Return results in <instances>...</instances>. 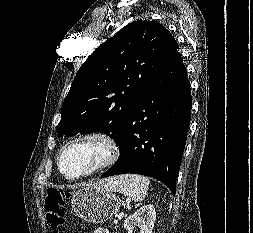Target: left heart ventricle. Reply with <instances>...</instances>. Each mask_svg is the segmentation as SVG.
<instances>
[{"label":"left heart ventricle","instance_id":"b2bd125f","mask_svg":"<svg viewBox=\"0 0 253 233\" xmlns=\"http://www.w3.org/2000/svg\"><path fill=\"white\" fill-rule=\"evenodd\" d=\"M105 149L96 143H81L69 148L63 156L66 174L75 176L94 167L104 156Z\"/></svg>","mask_w":253,"mask_h":233}]
</instances>
